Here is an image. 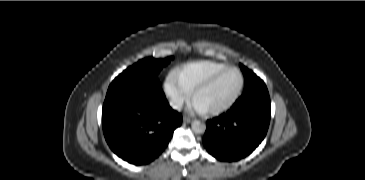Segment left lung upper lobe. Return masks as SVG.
Here are the masks:
<instances>
[{"instance_id":"1","label":"left lung upper lobe","mask_w":365,"mask_h":180,"mask_svg":"<svg viewBox=\"0 0 365 180\" xmlns=\"http://www.w3.org/2000/svg\"><path fill=\"white\" fill-rule=\"evenodd\" d=\"M240 67L245 77L244 92L253 89L257 86L265 85L264 82L258 76H256V74H254L251 70L247 69L242 64H240Z\"/></svg>"}]
</instances>
